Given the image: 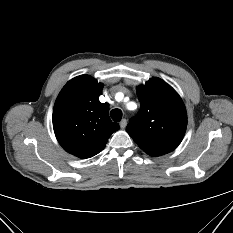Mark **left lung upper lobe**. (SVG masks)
<instances>
[{
	"label": "left lung upper lobe",
	"mask_w": 233,
	"mask_h": 233,
	"mask_svg": "<svg viewBox=\"0 0 233 233\" xmlns=\"http://www.w3.org/2000/svg\"><path fill=\"white\" fill-rule=\"evenodd\" d=\"M141 104L127 132L150 156L173 151L182 141L187 125L184 103L177 92L159 78L137 88Z\"/></svg>",
	"instance_id": "obj_1"
}]
</instances>
